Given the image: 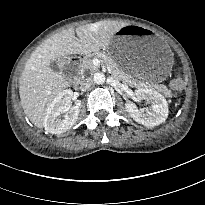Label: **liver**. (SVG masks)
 <instances>
[{
    "label": "liver",
    "mask_w": 205,
    "mask_h": 205,
    "mask_svg": "<svg viewBox=\"0 0 205 205\" xmlns=\"http://www.w3.org/2000/svg\"><path fill=\"white\" fill-rule=\"evenodd\" d=\"M127 24L100 21L64 30L47 39L31 54L19 80L21 105L26 116L38 128L53 99L70 82L63 73L51 69L50 63L71 54H90L104 49L114 33ZM75 31L77 37H75Z\"/></svg>",
    "instance_id": "obj_1"
}]
</instances>
